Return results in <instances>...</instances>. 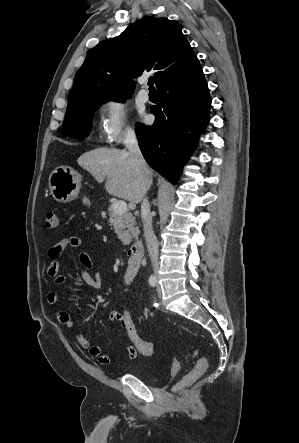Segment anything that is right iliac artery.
Masks as SVG:
<instances>
[{
    "mask_svg": "<svg viewBox=\"0 0 299 443\" xmlns=\"http://www.w3.org/2000/svg\"><path fill=\"white\" fill-rule=\"evenodd\" d=\"M149 284H150L151 287H155V286H156V284H157V279H156V276H155V275H151V276L149 277Z\"/></svg>",
    "mask_w": 299,
    "mask_h": 443,
    "instance_id": "1",
    "label": "right iliac artery"
}]
</instances>
